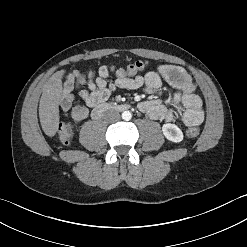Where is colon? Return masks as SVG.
<instances>
[{"instance_id":"1","label":"colon","mask_w":247,"mask_h":247,"mask_svg":"<svg viewBox=\"0 0 247 247\" xmlns=\"http://www.w3.org/2000/svg\"><path fill=\"white\" fill-rule=\"evenodd\" d=\"M146 68V62L144 61H136L127 65L125 68H120L115 71L116 75L122 77H135L141 74ZM76 80L79 83H83L85 80V76L78 72L74 73ZM200 134V129L196 126H192L187 129L186 135L191 138H197ZM72 136V126L68 123H60L57 129V137L58 139L64 143L68 144L71 140Z\"/></svg>"}]
</instances>
